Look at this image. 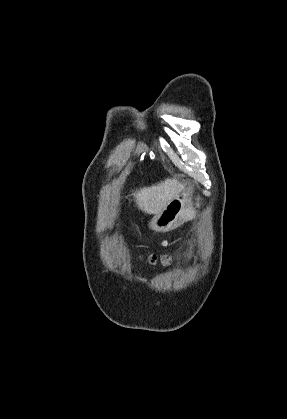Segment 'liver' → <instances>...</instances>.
Listing matches in <instances>:
<instances>
[{"label":"liver","instance_id":"liver-1","mask_svg":"<svg viewBox=\"0 0 287 419\" xmlns=\"http://www.w3.org/2000/svg\"><path fill=\"white\" fill-rule=\"evenodd\" d=\"M183 188L176 179H166L150 187H144L133 195L140 210L146 214L157 215L171 200L179 196Z\"/></svg>","mask_w":287,"mask_h":419}]
</instances>
